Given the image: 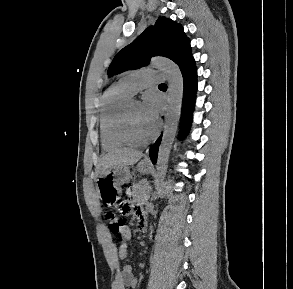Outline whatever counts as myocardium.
Here are the masks:
<instances>
[{"label": "myocardium", "mask_w": 293, "mask_h": 289, "mask_svg": "<svg viewBox=\"0 0 293 289\" xmlns=\"http://www.w3.org/2000/svg\"><path fill=\"white\" fill-rule=\"evenodd\" d=\"M134 100H129L122 112L121 121H120V135L125 142V144L132 147H141L151 143L158 135L160 130V125L157 123L152 134L143 140H137L133 137L131 132V122H130V109Z\"/></svg>", "instance_id": "1"}]
</instances>
